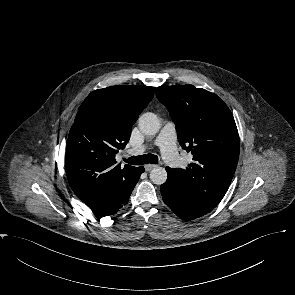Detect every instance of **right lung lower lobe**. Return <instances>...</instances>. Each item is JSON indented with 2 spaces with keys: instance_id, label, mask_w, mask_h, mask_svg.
Instances as JSON below:
<instances>
[{
  "instance_id": "obj_1",
  "label": "right lung lower lobe",
  "mask_w": 295,
  "mask_h": 295,
  "mask_svg": "<svg viewBox=\"0 0 295 295\" xmlns=\"http://www.w3.org/2000/svg\"><path fill=\"white\" fill-rule=\"evenodd\" d=\"M144 170L143 166L136 167L128 180L112 191L101 203L91 207L94 215L98 218H102L120 211L128 203L132 190Z\"/></svg>"
}]
</instances>
